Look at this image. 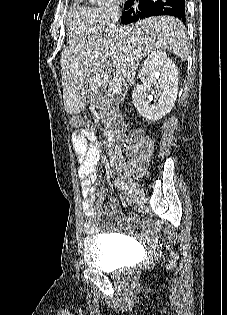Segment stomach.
<instances>
[{
	"mask_svg": "<svg viewBox=\"0 0 227 315\" xmlns=\"http://www.w3.org/2000/svg\"><path fill=\"white\" fill-rule=\"evenodd\" d=\"M83 85L86 89V92L90 95V98L93 100V101H96L97 100V96L95 93H93V89H94V86L91 82V80H84L83 82Z\"/></svg>",
	"mask_w": 227,
	"mask_h": 315,
	"instance_id": "obj_1",
	"label": "stomach"
}]
</instances>
